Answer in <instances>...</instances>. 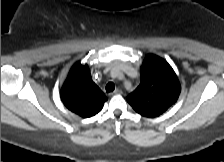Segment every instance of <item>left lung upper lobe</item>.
Listing matches in <instances>:
<instances>
[{
	"label": "left lung upper lobe",
	"mask_w": 224,
	"mask_h": 162,
	"mask_svg": "<svg viewBox=\"0 0 224 162\" xmlns=\"http://www.w3.org/2000/svg\"><path fill=\"white\" fill-rule=\"evenodd\" d=\"M180 84L172 67L162 58L148 54L140 69V85L126 100L145 117H157L176 102Z\"/></svg>",
	"instance_id": "left-lung-upper-lobe-1"
}]
</instances>
